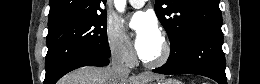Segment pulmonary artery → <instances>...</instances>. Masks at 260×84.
<instances>
[{
	"label": "pulmonary artery",
	"instance_id": "1",
	"mask_svg": "<svg viewBox=\"0 0 260 84\" xmlns=\"http://www.w3.org/2000/svg\"><path fill=\"white\" fill-rule=\"evenodd\" d=\"M129 3L135 7V8H139L144 4L143 0H130Z\"/></svg>",
	"mask_w": 260,
	"mask_h": 84
}]
</instances>
